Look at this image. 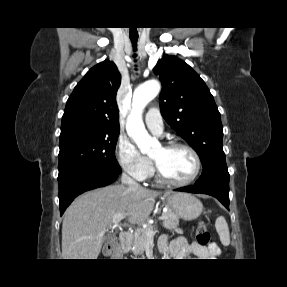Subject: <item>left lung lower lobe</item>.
Wrapping results in <instances>:
<instances>
[{"mask_svg":"<svg viewBox=\"0 0 287 287\" xmlns=\"http://www.w3.org/2000/svg\"><path fill=\"white\" fill-rule=\"evenodd\" d=\"M176 191L189 193L208 194L217 198L227 209H229V189L215 185H194L176 189Z\"/></svg>","mask_w":287,"mask_h":287,"instance_id":"obj_1","label":"left lung lower lobe"}]
</instances>
